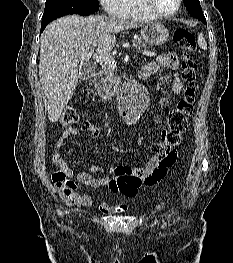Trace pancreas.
I'll use <instances>...</instances> for the list:
<instances>
[{"label": "pancreas", "mask_w": 233, "mask_h": 263, "mask_svg": "<svg viewBox=\"0 0 233 263\" xmlns=\"http://www.w3.org/2000/svg\"><path fill=\"white\" fill-rule=\"evenodd\" d=\"M133 45L136 48H146V44L141 39L133 40ZM115 69L107 64L102 65L97 77L94 79V88L96 92L93 91V95H98L102 100H107L115 92V87L111 83L114 78Z\"/></svg>", "instance_id": "pancreas-1"}]
</instances>
